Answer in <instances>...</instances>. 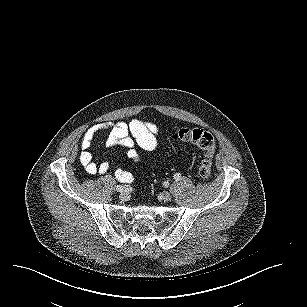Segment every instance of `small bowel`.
Masks as SVG:
<instances>
[{
	"mask_svg": "<svg viewBox=\"0 0 307 307\" xmlns=\"http://www.w3.org/2000/svg\"><path fill=\"white\" fill-rule=\"evenodd\" d=\"M100 132L107 133V147L125 149L127 156L134 162L140 160V155L135 149L136 145L147 152L155 151L158 146V128L151 122L132 119L129 122H104L93 125L84 132L81 138V152L79 155L81 165L85 172L90 175H103L110 169L108 162H95L91 151L93 140ZM114 176L121 183H130L135 179V175L132 172L121 168H117L114 171Z\"/></svg>",
	"mask_w": 307,
	"mask_h": 307,
	"instance_id": "1",
	"label": "small bowel"
}]
</instances>
